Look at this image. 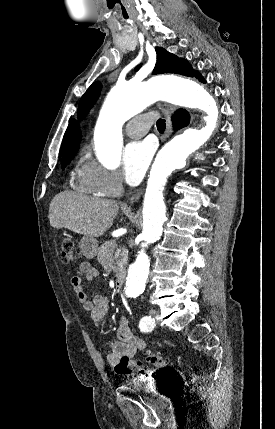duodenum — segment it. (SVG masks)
Wrapping results in <instances>:
<instances>
[{"instance_id": "duodenum-1", "label": "duodenum", "mask_w": 275, "mask_h": 429, "mask_svg": "<svg viewBox=\"0 0 275 429\" xmlns=\"http://www.w3.org/2000/svg\"><path fill=\"white\" fill-rule=\"evenodd\" d=\"M123 283H124V277L122 275H119L114 282L115 290L118 292L121 291L123 287Z\"/></svg>"}]
</instances>
